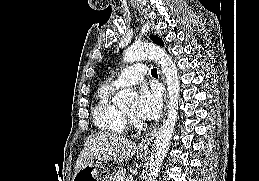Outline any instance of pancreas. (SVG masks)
<instances>
[{
    "label": "pancreas",
    "instance_id": "pancreas-1",
    "mask_svg": "<svg viewBox=\"0 0 259 181\" xmlns=\"http://www.w3.org/2000/svg\"><path fill=\"white\" fill-rule=\"evenodd\" d=\"M126 173V169L123 167H120L118 170H115L111 177H110V181H119L121 178H124Z\"/></svg>",
    "mask_w": 259,
    "mask_h": 181
}]
</instances>
